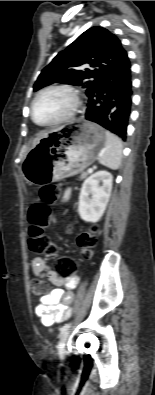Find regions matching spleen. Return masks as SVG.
<instances>
[{"label": "spleen", "mask_w": 155, "mask_h": 395, "mask_svg": "<svg viewBox=\"0 0 155 395\" xmlns=\"http://www.w3.org/2000/svg\"><path fill=\"white\" fill-rule=\"evenodd\" d=\"M105 137V147L99 154V162L112 170H117L122 160V142L109 131L105 132Z\"/></svg>", "instance_id": "1"}]
</instances>
